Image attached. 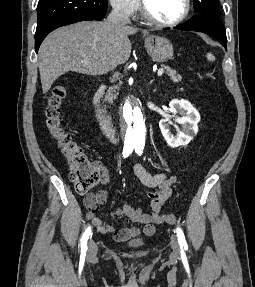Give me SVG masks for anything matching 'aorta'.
<instances>
[{
    "instance_id": "aorta-1",
    "label": "aorta",
    "mask_w": 255,
    "mask_h": 287,
    "mask_svg": "<svg viewBox=\"0 0 255 287\" xmlns=\"http://www.w3.org/2000/svg\"><path fill=\"white\" fill-rule=\"evenodd\" d=\"M144 112L137 102L128 101L123 108L125 144L131 147L145 145L146 125Z\"/></svg>"
}]
</instances>
